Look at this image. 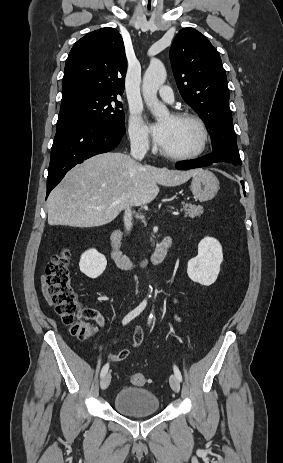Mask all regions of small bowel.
<instances>
[{
	"label": "small bowel",
	"mask_w": 283,
	"mask_h": 463,
	"mask_svg": "<svg viewBox=\"0 0 283 463\" xmlns=\"http://www.w3.org/2000/svg\"><path fill=\"white\" fill-rule=\"evenodd\" d=\"M143 341V333L140 329H136L135 334H134V345L139 346ZM129 354L128 350H122L118 352L116 356L117 361H122L127 358Z\"/></svg>",
	"instance_id": "obj_1"
}]
</instances>
